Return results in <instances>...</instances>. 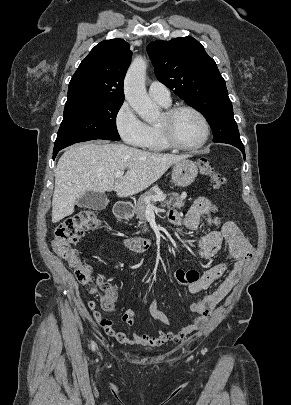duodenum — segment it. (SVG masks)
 Here are the masks:
<instances>
[{
  "label": "duodenum",
  "mask_w": 291,
  "mask_h": 405,
  "mask_svg": "<svg viewBox=\"0 0 291 405\" xmlns=\"http://www.w3.org/2000/svg\"><path fill=\"white\" fill-rule=\"evenodd\" d=\"M132 213V205L125 201H120L115 206V214L118 218L124 219ZM124 243L136 252H143L148 249L150 242L147 239L137 237H124Z\"/></svg>",
  "instance_id": "410a0bca"
}]
</instances>
